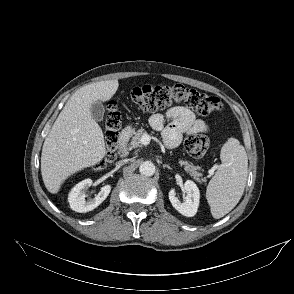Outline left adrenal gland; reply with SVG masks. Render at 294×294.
<instances>
[{"mask_svg": "<svg viewBox=\"0 0 294 294\" xmlns=\"http://www.w3.org/2000/svg\"><path fill=\"white\" fill-rule=\"evenodd\" d=\"M163 168H168V169L172 170V168L167 164H163Z\"/></svg>", "mask_w": 294, "mask_h": 294, "instance_id": "a2214340", "label": "left adrenal gland"}]
</instances>
